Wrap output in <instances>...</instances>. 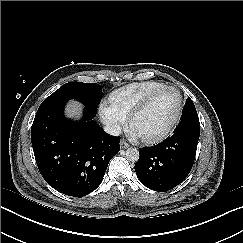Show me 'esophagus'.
Instances as JSON below:
<instances>
[{
	"label": "esophagus",
	"mask_w": 243,
	"mask_h": 243,
	"mask_svg": "<svg viewBox=\"0 0 243 243\" xmlns=\"http://www.w3.org/2000/svg\"><path fill=\"white\" fill-rule=\"evenodd\" d=\"M120 147H121L122 149H127V148L130 147V145H129L126 141L121 140V142H120Z\"/></svg>",
	"instance_id": "1"
}]
</instances>
